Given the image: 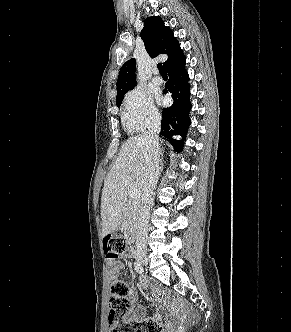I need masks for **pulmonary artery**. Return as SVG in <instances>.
I'll return each instance as SVG.
<instances>
[{"mask_svg": "<svg viewBox=\"0 0 291 332\" xmlns=\"http://www.w3.org/2000/svg\"><path fill=\"white\" fill-rule=\"evenodd\" d=\"M152 81L155 83V84H161L163 82L162 78L159 76V75H155L153 78H152Z\"/></svg>", "mask_w": 291, "mask_h": 332, "instance_id": "pulmonary-artery-1", "label": "pulmonary artery"}]
</instances>
